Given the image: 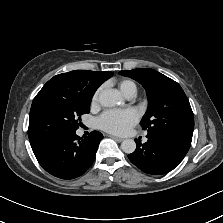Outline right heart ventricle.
<instances>
[{
  "mask_svg": "<svg viewBox=\"0 0 223 223\" xmlns=\"http://www.w3.org/2000/svg\"><path fill=\"white\" fill-rule=\"evenodd\" d=\"M120 89L125 95L131 92H134L136 94L137 91L136 84L131 80H122L120 82Z\"/></svg>",
  "mask_w": 223,
  "mask_h": 223,
  "instance_id": "obj_1",
  "label": "right heart ventricle"
}]
</instances>
